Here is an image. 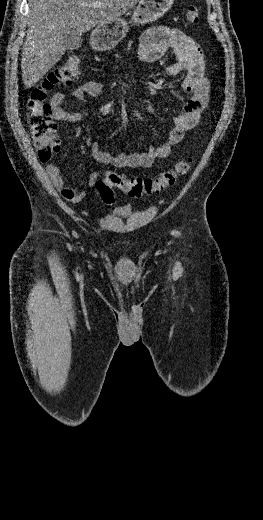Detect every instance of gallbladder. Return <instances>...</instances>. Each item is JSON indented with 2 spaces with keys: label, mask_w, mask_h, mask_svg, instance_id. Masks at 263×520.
<instances>
[{
  "label": "gallbladder",
  "mask_w": 263,
  "mask_h": 520,
  "mask_svg": "<svg viewBox=\"0 0 263 520\" xmlns=\"http://www.w3.org/2000/svg\"><path fill=\"white\" fill-rule=\"evenodd\" d=\"M67 49L75 50L81 46L82 43V34L70 33L66 36Z\"/></svg>",
  "instance_id": "obj_1"
}]
</instances>
